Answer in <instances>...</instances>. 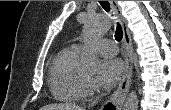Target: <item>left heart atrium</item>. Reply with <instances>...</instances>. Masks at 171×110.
<instances>
[{
  "label": "left heart atrium",
  "mask_w": 171,
  "mask_h": 110,
  "mask_svg": "<svg viewBox=\"0 0 171 110\" xmlns=\"http://www.w3.org/2000/svg\"><path fill=\"white\" fill-rule=\"evenodd\" d=\"M125 66L120 59H106L99 64L93 85L100 89L112 88L124 75Z\"/></svg>",
  "instance_id": "39dd6f15"
}]
</instances>
